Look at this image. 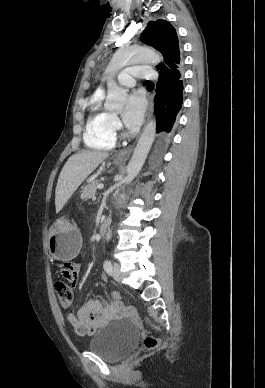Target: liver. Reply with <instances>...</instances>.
I'll use <instances>...</instances> for the list:
<instances>
[{"instance_id": "liver-1", "label": "liver", "mask_w": 265, "mask_h": 388, "mask_svg": "<svg viewBox=\"0 0 265 388\" xmlns=\"http://www.w3.org/2000/svg\"><path fill=\"white\" fill-rule=\"evenodd\" d=\"M109 158L108 152H97V150H84L80 154H74L67 160L58 178L55 192L56 214L64 208L66 202L92 174L99 164Z\"/></svg>"}]
</instances>
